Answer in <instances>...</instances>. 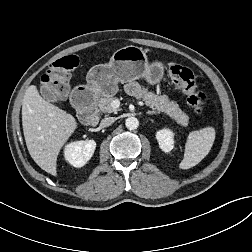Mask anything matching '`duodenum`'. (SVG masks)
I'll return each instance as SVG.
<instances>
[{
  "label": "duodenum",
  "mask_w": 252,
  "mask_h": 252,
  "mask_svg": "<svg viewBox=\"0 0 252 252\" xmlns=\"http://www.w3.org/2000/svg\"><path fill=\"white\" fill-rule=\"evenodd\" d=\"M93 94L89 88H80L71 95V101L80 110L81 120L89 126L99 123V114L95 104L92 102Z\"/></svg>",
  "instance_id": "1"
}]
</instances>
